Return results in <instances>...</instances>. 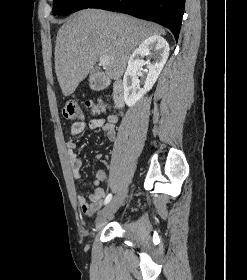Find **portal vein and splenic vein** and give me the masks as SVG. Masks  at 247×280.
Listing matches in <instances>:
<instances>
[{
	"mask_svg": "<svg viewBox=\"0 0 247 280\" xmlns=\"http://www.w3.org/2000/svg\"><path fill=\"white\" fill-rule=\"evenodd\" d=\"M100 65L107 66L109 64V58L107 56H101L99 58Z\"/></svg>",
	"mask_w": 247,
	"mask_h": 280,
	"instance_id": "1",
	"label": "portal vein and splenic vein"
}]
</instances>
